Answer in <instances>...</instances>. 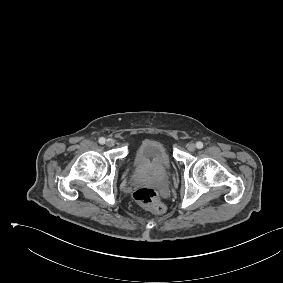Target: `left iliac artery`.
<instances>
[{"label": "left iliac artery", "instance_id": "1", "mask_svg": "<svg viewBox=\"0 0 283 283\" xmlns=\"http://www.w3.org/2000/svg\"><path fill=\"white\" fill-rule=\"evenodd\" d=\"M196 147L198 148V149H202L203 148V143L202 142H197L196 143Z\"/></svg>", "mask_w": 283, "mask_h": 283}]
</instances>
